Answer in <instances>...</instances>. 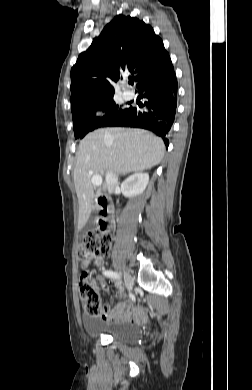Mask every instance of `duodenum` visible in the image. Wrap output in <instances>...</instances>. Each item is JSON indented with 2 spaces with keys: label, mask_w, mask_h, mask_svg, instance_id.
<instances>
[{
  "label": "duodenum",
  "mask_w": 252,
  "mask_h": 390,
  "mask_svg": "<svg viewBox=\"0 0 252 390\" xmlns=\"http://www.w3.org/2000/svg\"><path fill=\"white\" fill-rule=\"evenodd\" d=\"M96 202L100 207L101 220L98 223V230L100 232L108 231L114 224V214L110 201L107 196L100 194L96 197Z\"/></svg>",
  "instance_id": "410a0bca"
}]
</instances>
